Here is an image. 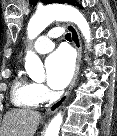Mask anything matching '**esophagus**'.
I'll list each match as a JSON object with an SVG mask.
<instances>
[{
  "mask_svg": "<svg viewBox=\"0 0 117 136\" xmlns=\"http://www.w3.org/2000/svg\"><path fill=\"white\" fill-rule=\"evenodd\" d=\"M65 27L70 32L73 44L77 50L75 71H74L73 78L70 82V85H69L67 91L62 95V97L58 101H56L54 104H52L46 110L47 115L54 113L63 105V103L66 101L67 97L69 96L72 88L74 87L78 73H79V67H80V62H81V53H82L80 36H79L77 29L72 24L66 23Z\"/></svg>",
  "mask_w": 117,
  "mask_h": 136,
  "instance_id": "34e87169",
  "label": "esophagus"
}]
</instances>
